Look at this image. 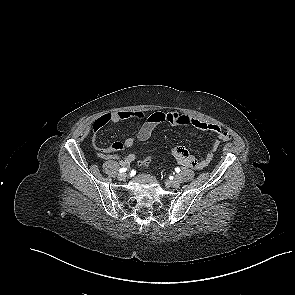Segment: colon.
<instances>
[{"label": "colon", "mask_w": 295, "mask_h": 295, "mask_svg": "<svg viewBox=\"0 0 295 295\" xmlns=\"http://www.w3.org/2000/svg\"><path fill=\"white\" fill-rule=\"evenodd\" d=\"M175 149V148H174ZM151 162L150 157H146L143 160L140 161V165L143 167H147Z\"/></svg>", "instance_id": "colon-1"}]
</instances>
